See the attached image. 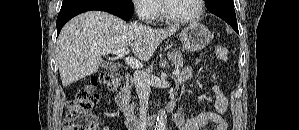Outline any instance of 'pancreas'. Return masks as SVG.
I'll return each instance as SVG.
<instances>
[{
  "instance_id": "1",
  "label": "pancreas",
  "mask_w": 299,
  "mask_h": 130,
  "mask_svg": "<svg viewBox=\"0 0 299 130\" xmlns=\"http://www.w3.org/2000/svg\"><path fill=\"white\" fill-rule=\"evenodd\" d=\"M167 57L173 62V64L179 68L183 66V55L180 51H172L167 54ZM179 78V76L177 77Z\"/></svg>"
}]
</instances>
